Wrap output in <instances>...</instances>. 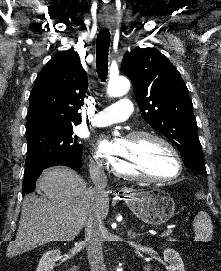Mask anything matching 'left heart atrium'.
Masks as SVG:
<instances>
[{
  "label": "left heart atrium",
  "mask_w": 221,
  "mask_h": 271,
  "mask_svg": "<svg viewBox=\"0 0 221 271\" xmlns=\"http://www.w3.org/2000/svg\"><path fill=\"white\" fill-rule=\"evenodd\" d=\"M119 142H102L99 145L103 157H137V152H130V148H118Z\"/></svg>",
  "instance_id": "obj_1"
}]
</instances>
